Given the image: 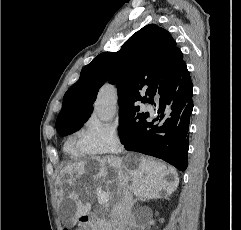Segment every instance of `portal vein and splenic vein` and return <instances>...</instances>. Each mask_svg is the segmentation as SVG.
<instances>
[{
    "label": "portal vein and splenic vein",
    "instance_id": "18ae733b",
    "mask_svg": "<svg viewBox=\"0 0 241 230\" xmlns=\"http://www.w3.org/2000/svg\"><path fill=\"white\" fill-rule=\"evenodd\" d=\"M98 203L104 205L109 201V195L104 191H98Z\"/></svg>",
    "mask_w": 241,
    "mask_h": 230
}]
</instances>
